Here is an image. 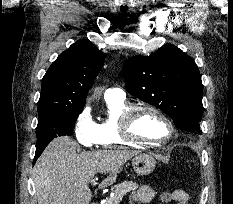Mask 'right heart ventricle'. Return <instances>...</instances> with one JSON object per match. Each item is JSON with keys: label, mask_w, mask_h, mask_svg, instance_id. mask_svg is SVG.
Returning <instances> with one entry per match:
<instances>
[{"label": "right heart ventricle", "mask_w": 233, "mask_h": 204, "mask_svg": "<svg viewBox=\"0 0 233 204\" xmlns=\"http://www.w3.org/2000/svg\"><path fill=\"white\" fill-rule=\"evenodd\" d=\"M106 117L96 123L97 141L103 148H118L123 146H141L124 140L120 134V119L122 114L131 106L125 98L105 99Z\"/></svg>", "instance_id": "1"}]
</instances>
